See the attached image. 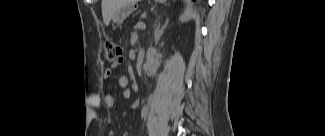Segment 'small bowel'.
<instances>
[{
  "instance_id": "1",
  "label": "small bowel",
  "mask_w": 325,
  "mask_h": 136,
  "mask_svg": "<svg viewBox=\"0 0 325 136\" xmlns=\"http://www.w3.org/2000/svg\"><path fill=\"white\" fill-rule=\"evenodd\" d=\"M120 65V63L115 62L112 64L111 68H108L104 71L103 77L105 80H109L111 79L112 75H113V69L117 68ZM118 85L122 90V96L125 99H130L132 96V92L130 90V88L128 87L129 85V78L126 75H120L118 77ZM104 102L108 107H113L116 103L115 97L112 94H106L104 96ZM139 106V101L136 100L133 104L132 107L133 108H137Z\"/></svg>"
}]
</instances>
